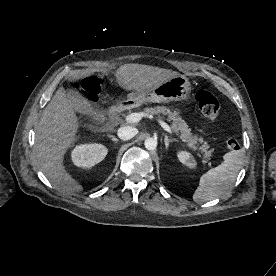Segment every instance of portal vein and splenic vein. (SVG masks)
I'll use <instances>...</instances> for the list:
<instances>
[{"instance_id":"portal-vein-and-splenic-vein-1","label":"portal vein and splenic vein","mask_w":276,"mask_h":276,"mask_svg":"<svg viewBox=\"0 0 276 276\" xmlns=\"http://www.w3.org/2000/svg\"><path fill=\"white\" fill-rule=\"evenodd\" d=\"M143 116H145L144 113H131L128 116H126L125 121L127 123H138ZM159 123L165 131H167L170 134H173L171 127L166 122L160 120Z\"/></svg>"}]
</instances>
